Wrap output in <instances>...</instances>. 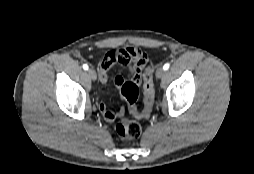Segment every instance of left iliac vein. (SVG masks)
<instances>
[{
    "instance_id": "left-iliac-vein-1",
    "label": "left iliac vein",
    "mask_w": 254,
    "mask_h": 174,
    "mask_svg": "<svg viewBox=\"0 0 254 174\" xmlns=\"http://www.w3.org/2000/svg\"><path fill=\"white\" fill-rule=\"evenodd\" d=\"M164 74H165V70L162 67H158L155 73L156 78L160 79L164 76Z\"/></svg>"
}]
</instances>
